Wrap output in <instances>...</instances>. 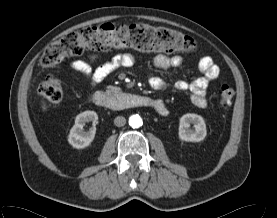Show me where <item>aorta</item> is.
Listing matches in <instances>:
<instances>
[{"instance_id":"aorta-1","label":"aorta","mask_w":277,"mask_h":218,"mask_svg":"<svg viewBox=\"0 0 277 218\" xmlns=\"http://www.w3.org/2000/svg\"><path fill=\"white\" fill-rule=\"evenodd\" d=\"M143 121L142 118L139 115H132L129 118V125L132 128H139L140 126H142Z\"/></svg>"}]
</instances>
